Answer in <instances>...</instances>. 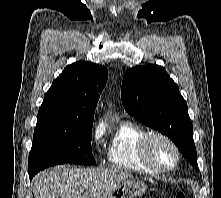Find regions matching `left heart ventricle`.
<instances>
[{
    "instance_id": "1",
    "label": "left heart ventricle",
    "mask_w": 221,
    "mask_h": 198,
    "mask_svg": "<svg viewBox=\"0 0 221 198\" xmlns=\"http://www.w3.org/2000/svg\"><path fill=\"white\" fill-rule=\"evenodd\" d=\"M151 155L154 161L163 167H170L175 162L173 149L167 142L161 139H154L152 141Z\"/></svg>"
}]
</instances>
